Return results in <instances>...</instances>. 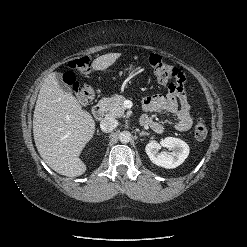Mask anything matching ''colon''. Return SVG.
Listing matches in <instances>:
<instances>
[{"label":"colon","mask_w":247,"mask_h":247,"mask_svg":"<svg viewBox=\"0 0 247 247\" xmlns=\"http://www.w3.org/2000/svg\"><path fill=\"white\" fill-rule=\"evenodd\" d=\"M149 65L153 70L156 79L162 84H168L175 86L181 84L184 81V75L176 67L166 63L163 59L157 55L152 54L149 57ZM71 71L64 74V82L73 90L77 99L83 103H89L93 100L95 92L89 85H80L77 82L74 71H78L82 74L88 73L91 66V59L88 56L74 59L68 63ZM208 134V126L205 118L198 117L194 125V136L197 140L203 141Z\"/></svg>","instance_id":"colon-1"}]
</instances>
